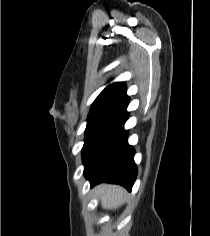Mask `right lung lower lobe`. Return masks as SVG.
<instances>
[{
	"label": "right lung lower lobe",
	"instance_id": "obj_1",
	"mask_svg": "<svg viewBox=\"0 0 210 236\" xmlns=\"http://www.w3.org/2000/svg\"><path fill=\"white\" fill-rule=\"evenodd\" d=\"M125 104L100 124L85 140L82 149L84 175L91 186L101 182L123 185L131 190L137 168L134 149L127 143L124 124L129 113Z\"/></svg>",
	"mask_w": 210,
	"mask_h": 236
}]
</instances>
